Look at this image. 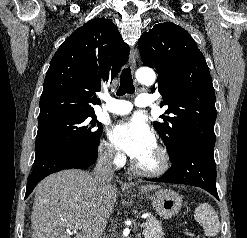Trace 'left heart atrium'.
I'll list each match as a JSON object with an SVG mask.
<instances>
[{
	"instance_id": "left-heart-atrium-1",
	"label": "left heart atrium",
	"mask_w": 247,
	"mask_h": 238,
	"mask_svg": "<svg viewBox=\"0 0 247 238\" xmlns=\"http://www.w3.org/2000/svg\"><path fill=\"white\" fill-rule=\"evenodd\" d=\"M114 145L135 160L155 148V136L140 118H131L115 124L110 131Z\"/></svg>"
}]
</instances>
